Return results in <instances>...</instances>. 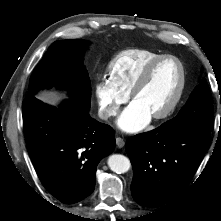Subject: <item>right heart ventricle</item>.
Wrapping results in <instances>:
<instances>
[{
    "label": "right heart ventricle",
    "mask_w": 221,
    "mask_h": 221,
    "mask_svg": "<svg viewBox=\"0 0 221 221\" xmlns=\"http://www.w3.org/2000/svg\"><path fill=\"white\" fill-rule=\"evenodd\" d=\"M162 54L148 49H127L108 63L109 79L123 92L130 94L146 66Z\"/></svg>",
    "instance_id": "right-heart-ventricle-1"
}]
</instances>
